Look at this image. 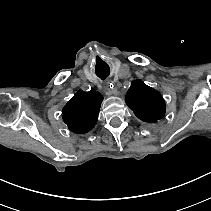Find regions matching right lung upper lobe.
<instances>
[{
    "mask_svg": "<svg viewBox=\"0 0 211 211\" xmlns=\"http://www.w3.org/2000/svg\"><path fill=\"white\" fill-rule=\"evenodd\" d=\"M102 95L79 90L63 108V120L74 133H86L96 124Z\"/></svg>",
    "mask_w": 211,
    "mask_h": 211,
    "instance_id": "cb5924a9",
    "label": "right lung upper lobe"
}]
</instances>
